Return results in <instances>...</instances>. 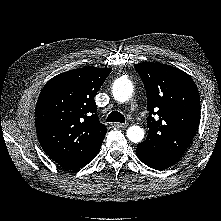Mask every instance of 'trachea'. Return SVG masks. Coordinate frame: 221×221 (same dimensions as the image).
I'll use <instances>...</instances> for the list:
<instances>
[{
    "instance_id": "3493384b",
    "label": "trachea",
    "mask_w": 221,
    "mask_h": 221,
    "mask_svg": "<svg viewBox=\"0 0 221 221\" xmlns=\"http://www.w3.org/2000/svg\"><path fill=\"white\" fill-rule=\"evenodd\" d=\"M107 122L125 123V117L118 111H112L107 117Z\"/></svg>"
}]
</instances>
